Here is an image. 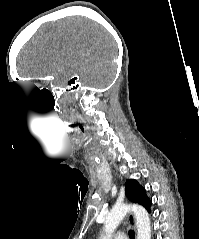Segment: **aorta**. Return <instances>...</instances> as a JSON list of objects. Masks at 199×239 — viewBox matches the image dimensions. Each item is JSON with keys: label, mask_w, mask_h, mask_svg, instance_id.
Returning a JSON list of instances; mask_svg holds the SVG:
<instances>
[{"label": "aorta", "mask_w": 199, "mask_h": 239, "mask_svg": "<svg viewBox=\"0 0 199 239\" xmlns=\"http://www.w3.org/2000/svg\"><path fill=\"white\" fill-rule=\"evenodd\" d=\"M132 211L136 218L137 239H151V227L148 212L139 205L116 204L105 218L103 239H111L114 231L126 214Z\"/></svg>", "instance_id": "aorta-1"}]
</instances>
